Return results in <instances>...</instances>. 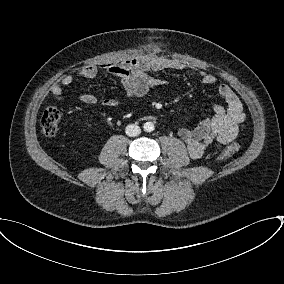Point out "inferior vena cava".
<instances>
[{
	"instance_id": "inferior-vena-cava-1",
	"label": "inferior vena cava",
	"mask_w": 284,
	"mask_h": 284,
	"mask_svg": "<svg viewBox=\"0 0 284 284\" xmlns=\"http://www.w3.org/2000/svg\"><path fill=\"white\" fill-rule=\"evenodd\" d=\"M125 133L130 137H135L141 133V129L135 124H130L126 126Z\"/></svg>"
}]
</instances>
